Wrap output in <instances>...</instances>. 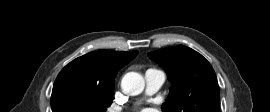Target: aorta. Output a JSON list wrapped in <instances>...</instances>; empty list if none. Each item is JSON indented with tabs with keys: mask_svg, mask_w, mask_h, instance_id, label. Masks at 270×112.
Segmentation results:
<instances>
[{
	"mask_svg": "<svg viewBox=\"0 0 270 112\" xmlns=\"http://www.w3.org/2000/svg\"><path fill=\"white\" fill-rule=\"evenodd\" d=\"M121 87L124 93L129 95L140 94L145 87V81L141 74L137 72H128L121 81Z\"/></svg>",
	"mask_w": 270,
	"mask_h": 112,
	"instance_id": "aorta-1",
	"label": "aorta"
}]
</instances>
